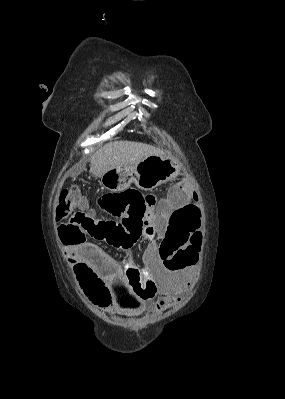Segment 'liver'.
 <instances>
[{
  "label": "liver",
  "instance_id": "1",
  "mask_svg": "<svg viewBox=\"0 0 285 399\" xmlns=\"http://www.w3.org/2000/svg\"><path fill=\"white\" fill-rule=\"evenodd\" d=\"M162 152L148 144L132 141H114L107 143L91 156L90 173L101 177L115 167H131L150 155H161Z\"/></svg>",
  "mask_w": 285,
  "mask_h": 399
}]
</instances>
